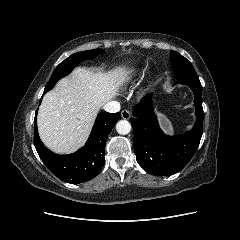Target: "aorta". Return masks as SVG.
Returning <instances> with one entry per match:
<instances>
[{
	"mask_svg": "<svg viewBox=\"0 0 240 240\" xmlns=\"http://www.w3.org/2000/svg\"><path fill=\"white\" fill-rule=\"evenodd\" d=\"M116 131L120 135H126L131 131V124L127 120H120L116 124Z\"/></svg>",
	"mask_w": 240,
	"mask_h": 240,
	"instance_id": "1",
	"label": "aorta"
}]
</instances>
